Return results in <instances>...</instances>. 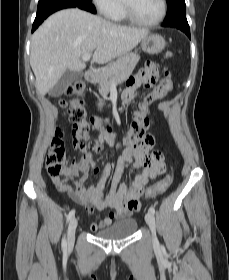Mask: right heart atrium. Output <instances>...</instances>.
Wrapping results in <instances>:
<instances>
[{
	"label": "right heart atrium",
	"mask_w": 229,
	"mask_h": 280,
	"mask_svg": "<svg viewBox=\"0 0 229 280\" xmlns=\"http://www.w3.org/2000/svg\"><path fill=\"white\" fill-rule=\"evenodd\" d=\"M121 0H92L99 12L107 18L113 14Z\"/></svg>",
	"instance_id": "obj_1"
}]
</instances>
